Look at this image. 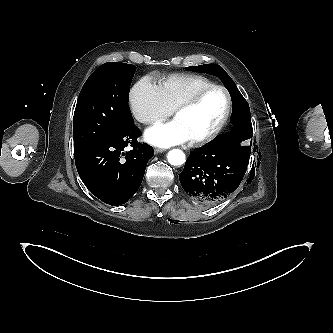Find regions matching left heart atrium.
<instances>
[{"label":"left heart atrium","mask_w":333,"mask_h":333,"mask_svg":"<svg viewBox=\"0 0 333 333\" xmlns=\"http://www.w3.org/2000/svg\"><path fill=\"white\" fill-rule=\"evenodd\" d=\"M147 142L158 147H170L188 142L189 136L177 120L159 123L145 131Z\"/></svg>","instance_id":"obj_1"}]
</instances>
